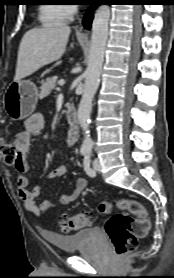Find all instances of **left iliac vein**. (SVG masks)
<instances>
[{"label":"left iliac vein","instance_id":"obj_1","mask_svg":"<svg viewBox=\"0 0 174 278\" xmlns=\"http://www.w3.org/2000/svg\"><path fill=\"white\" fill-rule=\"evenodd\" d=\"M100 167H101L100 161L98 159H94L93 160V168H94V170L98 171V170H100Z\"/></svg>","mask_w":174,"mask_h":278}]
</instances>
